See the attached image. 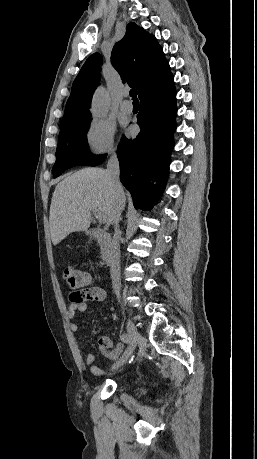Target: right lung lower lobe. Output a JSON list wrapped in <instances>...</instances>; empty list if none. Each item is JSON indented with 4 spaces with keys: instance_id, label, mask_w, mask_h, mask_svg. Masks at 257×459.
Wrapping results in <instances>:
<instances>
[{
    "instance_id": "obj_1",
    "label": "right lung lower lobe",
    "mask_w": 257,
    "mask_h": 459,
    "mask_svg": "<svg viewBox=\"0 0 257 459\" xmlns=\"http://www.w3.org/2000/svg\"><path fill=\"white\" fill-rule=\"evenodd\" d=\"M176 90L170 73L140 96L137 124L141 127L137 137L122 138L118 147L120 179L131 193L136 209L151 210L160 197L174 147L176 129ZM101 157L94 166L103 162ZM152 178L158 183L153 184Z\"/></svg>"
}]
</instances>
